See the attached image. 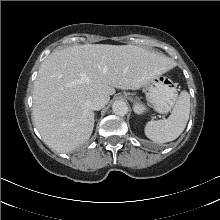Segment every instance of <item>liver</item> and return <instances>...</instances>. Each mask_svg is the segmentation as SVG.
I'll return each instance as SVG.
<instances>
[{"label": "liver", "instance_id": "6515ba94", "mask_svg": "<svg viewBox=\"0 0 220 220\" xmlns=\"http://www.w3.org/2000/svg\"><path fill=\"white\" fill-rule=\"evenodd\" d=\"M170 58L134 45L85 44L52 52L33 89L34 123L44 142L59 152L83 145L94 128L88 98L108 103L115 88L137 90L174 67Z\"/></svg>", "mask_w": 220, "mask_h": 220}]
</instances>
